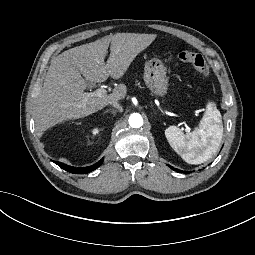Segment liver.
I'll list each match as a JSON object with an SVG mask.
<instances>
[{
	"label": "liver",
	"instance_id": "1",
	"mask_svg": "<svg viewBox=\"0 0 255 255\" xmlns=\"http://www.w3.org/2000/svg\"><path fill=\"white\" fill-rule=\"evenodd\" d=\"M157 34L116 33L66 50L51 60L37 101L35 125L38 137L67 121L83 119L103 109L110 101H122L128 88L118 84L104 97L84 99L87 83L104 82L108 76L122 79L135 58ZM108 46L110 58L104 63Z\"/></svg>",
	"mask_w": 255,
	"mask_h": 255
}]
</instances>
